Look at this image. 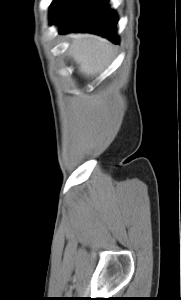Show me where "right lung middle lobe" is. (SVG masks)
Here are the masks:
<instances>
[{
	"label": "right lung middle lobe",
	"instance_id": "right-lung-middle-lobe-1",
	"mask_svg": "<svg viewBox=\"0 0 181 300\" xmlns=\"http://www.w3.org/2000/svg\"><path fill=\"white\" fill-rule=\"evenodd\" d=\"M66 0H53L51 7H50V12L56 10L58 7H60Z\"/></svg>",
	"mask_w": 181,
	"mask_h": 300
}]
</instances>
